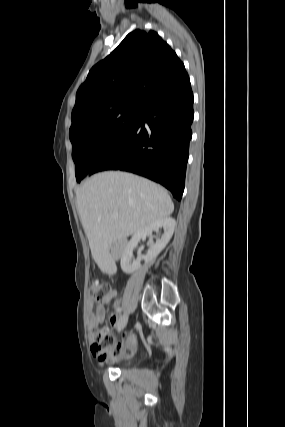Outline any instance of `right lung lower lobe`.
<instances>
[{
    "label": "right lung lower lobe",
    "mask_w": 285,
    "mask_h": 427,
    "mask_svg": "<svg viewBox=\"0 0 285 427\" xmlns=\"http://www.w3.org/2000/svg\"><path fill=\"white\" fill-rule=\"evenodd\" d=\"M193 93L186 70L152 90L123 141L88 174L123 170L147 177L181 200L188 161Z\"/></svg>",
    "instance_id": "right-lung-lower-lobe-1"
}]
</instances>
